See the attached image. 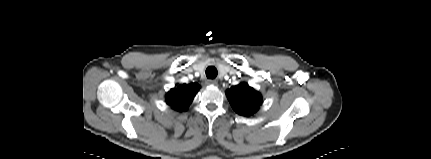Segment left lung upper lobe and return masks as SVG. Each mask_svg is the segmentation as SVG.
Returning a JSON list of instances; mask_svg holds the SVG:
<instances>
[{
	"instance_id": "obj_1",
	"label": "left lung upper lobe",
	"mask_w": 431,
	"mask_h": 159,
	"mask_svg": "<svg viewBox=\"0 0 431 159\" xmlns=\"http://www.w3.org/2000/svg\"><path fill=\"white\" fill-rule=\"evenodd\" d=\"M227 97L236 113L245 116L256 112L262 103L261 95L245 83L232 87Z\"/></svg>"
}]
</instances>
